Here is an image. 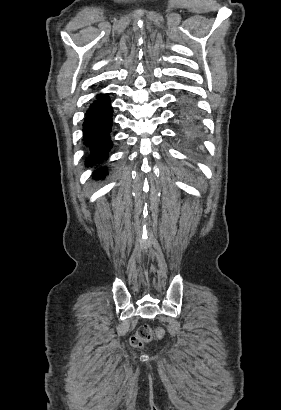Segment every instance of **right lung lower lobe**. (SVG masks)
<instances>
[{"label": "right lung lower lobe", "instance_id": "obj_1", "mask_svg": "<svg viewBox=\"0 0 281 410\" xmlns=\"http://www.w3.org/2000/svg\"><path fill=\"white\" fill-rule=\"evenodd\" d=\"M113 110L107 95H99L86 112L83 123L84 142L90 150L86 166H93L107 158L112 146L110 139ZM106 175L105 168L94 172V179L99 180Z\"/></svg>", "mask_w": 281, "mask_h": 410}]
</instances>
